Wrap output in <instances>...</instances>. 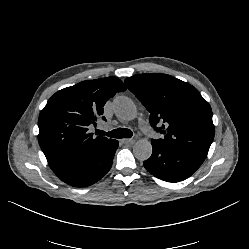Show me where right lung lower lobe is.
<instances>
[{"label":"right lung lower lobe","mask_w":249,"mask_h":249,"mask_svg":"<svg viewBox=\"0 0 249 249\" xmlns=\"http://www.w3.org/2000/svg\"><path fill=\"white\" fill-rule=\"evenodd\" d=\"M117 147L118 141L110 139L94 153L54 173L71 186H90L110 170Z\"/></svg>","instance_id":"obj_1"}]
</instances>
